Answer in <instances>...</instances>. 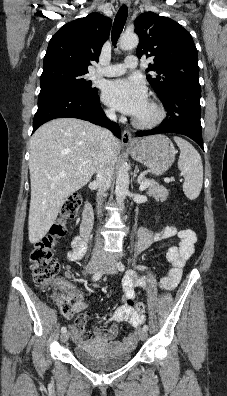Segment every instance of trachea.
<instances>
[{"label": "trachea", "mask_w": 227, "mask_h": 396, "mask_svg": "<svg viewBox=\"0 0 227 396\" xmlns=\"http://www.w3.org/2000/svg\"><path fill=\"white\" fill-rule=\"evenodd\" d=\"M127 16H128V8L125 5H123L120 7V9L116 14L112 29V42L114 46H116L117 40L124 28V25L127 20Z\"/></svg>", "instance_id": "3493384b"}]
</instances>
